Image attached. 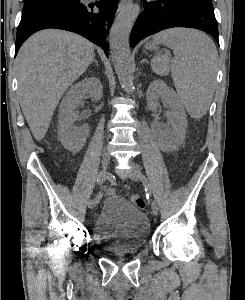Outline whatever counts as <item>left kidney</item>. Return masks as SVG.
Listing matches in <instances>:
<instances>
[{
    "mask_svg": "<svg viewBox=\"0 0 245 300\" xmlns=\"http://www.w3.org/2000/svg\"><path fill=\"white\" fill-rule=\"evenodd\" d=\"M147 104L150 110L157 111L160 108L159 100L170 108L171 128L157 126L156 132L159 143L166 149L177 148L184 140L187 117L183 104L176 93L171 90L162 80H155L147 89Z\"/></svg>",
    "mask_w": 245,
    "mask_h": 300,
    "instance_id": "5707ae66",
    "label": "left kidney"
}]
</instances>
